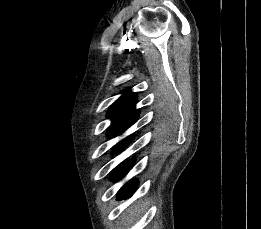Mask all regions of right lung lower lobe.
<instances>
[{
  "label": "right lung lower lobe",
  "mask_w": 261,
  "mask_h": 229,
  "mask_svg": "<svg viewBox=\"0 0 261 229\" xmlns=\"http://www.w3.org/2000/svg\"><path fill=\"white\" fill-rule=\"evenodd\" d=\"M133 160L121 164L113 173V180L117 181L121 179L132 167ZM137 181H130L126 183L118 192V198L130 196L137 189Z\"/></svg>",
  "instance_id": "98d812e1"
}]
</instances>
